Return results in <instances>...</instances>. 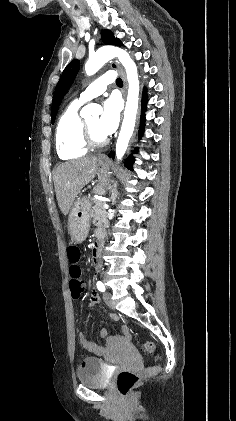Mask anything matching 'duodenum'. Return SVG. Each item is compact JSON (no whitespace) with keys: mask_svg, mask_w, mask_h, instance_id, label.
I'll return each instance as SVG.
<instances>
[{"mask_svg":"<svg viewBox=\"0 0 236 421\" xmlns=\"http://www.w3.org/2000/svg\"><path fill=\"white\" fill-rule=\"evenodd\" d=\"M105 230L103 228H98L95 232L96 242L93 246V258L96 266H100V253L101 248L105 239ZM128 337V331L124 330L123 338L126 339ZM84 346H86L89 350L94 352H103V349L99 346L92 344L91 342L87 341L85 338L82 339Z\"/></svg>","mask_w":236,"mask_h":421,"instance_id":"410a0bca","label":"duodenum"}]
</instances>
